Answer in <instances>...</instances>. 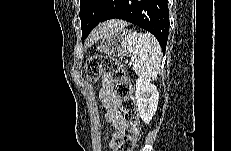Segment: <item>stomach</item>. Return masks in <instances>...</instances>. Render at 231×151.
Wrapping results in <instances>:
<instances>
[{"label":"stomach","mask_w":231,"mask_h":151,"mask_svg":"<svg viewBox=\"0 0 231 151\" xmlns=\"http://www.w3.org/2000/svg\"><path fill=\"white\" fill-rule=\"evenodd\" d=\"M128 33L124 29L109 31L103 36L98 50L108 56L118 57L124 55L127 51L126 36Z\"/></svg>","instance_id":"1"}]
</instances>
